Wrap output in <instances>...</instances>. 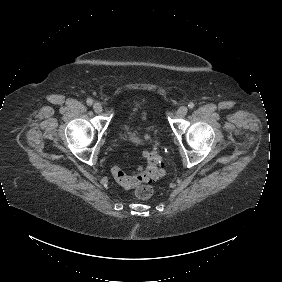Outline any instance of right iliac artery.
Listing matches in <instances>:
<instances>
[{"label": "right iliac artery", "mask_w": 282, "mask_h": 282, "mask_svg": "<svg viewBox=\"0 0 282 282\" xmlns=\"http://www.w3.org/2000/svg\"><path fill=\"white\" fill-rule=\"evenodd\" d=\"M86 102H87L88 105H92L93 104V100L91 98H88Z\"/></svg>", "instance_id": "82829eb1"}]
</instances>
